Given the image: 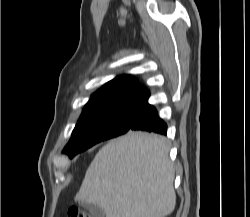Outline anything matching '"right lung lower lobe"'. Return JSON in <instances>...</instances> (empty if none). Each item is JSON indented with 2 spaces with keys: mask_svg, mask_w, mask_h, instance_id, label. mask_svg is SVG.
<instances>
[{
  "mask_svg": "<svg viewBox=\"0 0 250 217\" xmlns=\"http://www.w3.org/2000/svg\"><path fill=\"white\" fill-rule=\"evenodd\" d=\"M130 130L166 134L167 125L159 118L156 109L147 100L141 105L138 116Z\"/></svg>",
  "mask_w": 250,
  "mask_h": 217,
  "instance_id": "obj_1",
  "label": "right lung lower lobe"
}]
</instances>
